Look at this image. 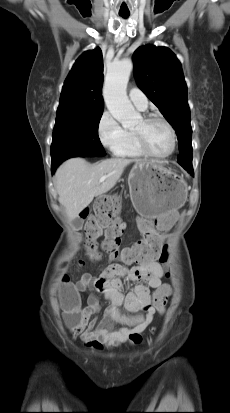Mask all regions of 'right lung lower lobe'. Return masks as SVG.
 I'll return each instance as SVG.
<instances>
[{"label": "right lung lower lobe", "instance_id": "98d812e1", "mask_svg": "<svg viewBox=\"0 0 230 413\" xmlns=\"http://www.w3.org/2000/svg\"><path fill=\"white\" fill-rule=\"evenodd\" d=\"M60 163H52V173L55 172L56 168L58 167Z\"/></svg>", "mask_w": 230, "mask_h": 413}]
</instances>
